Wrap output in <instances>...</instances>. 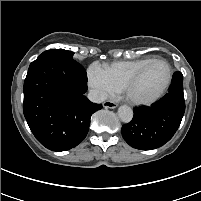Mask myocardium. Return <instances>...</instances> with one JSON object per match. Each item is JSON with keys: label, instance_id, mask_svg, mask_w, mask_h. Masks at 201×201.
<instances>
[{"label": "myocardium", "instance_id": "myocardium-1", "mask_svg": "<svg viewBox=\"0 0 201 201\" xmlns=\"http://www.w3.org/2000/svg\"><path fill=\"white\" fill-rule=\"evenodd\" d=\"M155 62H163L167 65L168 68V77L167 80L165 82V84L163 85V87L153 96L149 97V98H137L135 96L132 95L131 93V89L134 86V84L138 81V79L141 77V75L143 74V72L153 63ZM173 79V68L171 66V64L164 58H153L152 60L148 61L146 64H144L142 67H140L124 84L123 86V93L126 97V99L134 105H150L154 102H156L158 99H160L165 93L166 91L169 89L171 82Z\"/></svg>", "mask_w": 201, "mask_h": 201}]
</instances>
